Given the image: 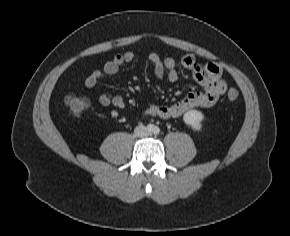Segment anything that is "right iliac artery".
Masks as SVG:
<instances>
[{
    "mask_svg": "<svg viewBox=\"0 0 290 236\" xmlns=\"http://www.w3.org/2000/svg\"><path fill=\"white\" fill-rule=\"evenodd\" d=\"M148 131H153L154 130V126L152 124H149L147 126Z\"/></svg>",
    "mask_w": 290,
    "mask_h": 236,
    "instance_id": "1",
    "label": "right iliac artery"
}]
</instances>
